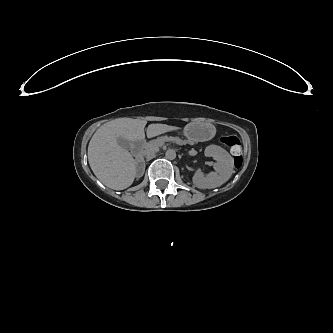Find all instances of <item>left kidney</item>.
Masks as SVG:
<instances>
[{
    "mask_svg": "<svg viewBox=\"0 0 333 333\" xmlns=\"http://www.w3.org/2000/svg\"><path fill=\"white\" fill-rule=\"evenodd\" d=\"M207 156L213 157L216 161L212 163L215 171L205 174L201 171H196L192 181L193 184L199 189H212L220 187L226 183L232 175V164L229 159L226 158V152L222 148L216 147L213 152L206 151Z\"/></svg>",
    "mask_w": 333,
    "mask_h": 333,
    "instance_id": "1",
    "label": "left kidney"
}]
</instances>
